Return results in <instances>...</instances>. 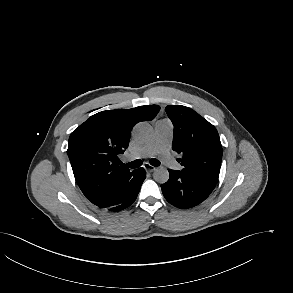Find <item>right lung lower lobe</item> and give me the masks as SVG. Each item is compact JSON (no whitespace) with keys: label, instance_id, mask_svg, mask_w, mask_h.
Segmentation results:
<instances>
[{"label":"right lung lower lobe","instance_id":"right-lung-lower-lobe-1","mask_svg":"<svg viewBox=\"0 0 293 293\" xmlns=\"http://www.w3.org/2000/svg\"><path fill=\"white\" fill-rule=\"evenodd\" d=\"M137 171H138L137 172L138 177H137V181H136V184H135L133 191L128 195V197L122 203H120L116 206L110 207V208H108V210L115 211V212L120 211V210L127 208L135 201V199L139 193V190L141 188V185L146 178V172L143 168H139V169H137Z\"/></svg>","mask_w":293,"mask_h":293}]
</instances>
